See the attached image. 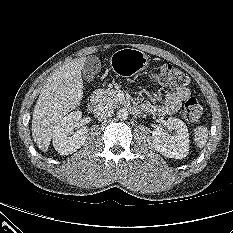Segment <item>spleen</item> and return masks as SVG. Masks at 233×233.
<instances>
[{
	"mask_svg": "<svg viewBox=\"0 0 233 233\" xmlns=\"http://www.w3.org/2000/svg\"><path fill=\"white\" fill-rule=\"evenodd\" d=\"M208 128L206 126H197L194 129V142L199 148L206 145L208 140Z\"/></svg>",
	"mask_w": 233,
	"mask_h": 233,
	"instance_id": "spleen-1",
	"label": "spleen"
}]
</instances>
